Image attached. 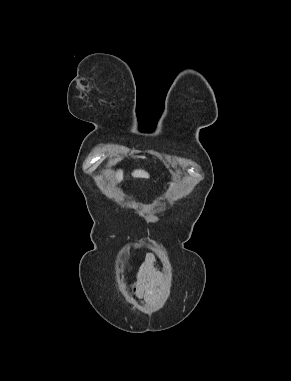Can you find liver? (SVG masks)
Masks as SVG:
<instances>
[{
  "label": "liver",
  "instance_id": "liver-1",
  "mask_svg": "<svg viewBox=\"0 0 291 381\" xmlns=\"http://www.w3.org/2000/svg\"><path fill=\"white\" fill-rule=\"evenodd\" d=\"M132 176L135 178H149V174L143 170H135L132 173ZM116 179L118 182H121L123 180V171L122 170H119L116 173Z\"/></svg>",
  "mask_w": 291,
  "mask_h": 381
}]
</instances>
